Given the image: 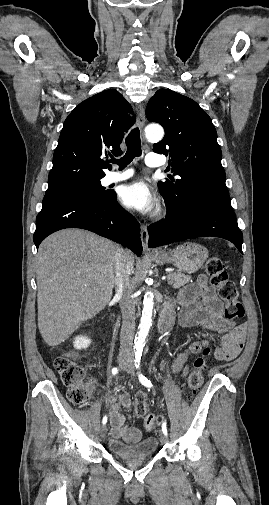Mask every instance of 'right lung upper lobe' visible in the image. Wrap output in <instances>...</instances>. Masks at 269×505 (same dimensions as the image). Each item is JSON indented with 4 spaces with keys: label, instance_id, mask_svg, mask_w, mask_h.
I'll list each match as a JSON object with an SVG mask.
<instances>
[{
    "label": "right lung upper lobe",
    "instance_id": "right-lung-upper-lobe-1",
    "mask_svg": "<svg viewBox=\"0 0 269 505\" xmlns=\"http://www.w3.org/2000/svg\"><path fill=\"white\" fill-rule=\"evenodd\" d=\"M132 108L116 90L102 91L81 102L66 118L58 146L48 189L101 179L110 166L103 160L122 153L120 144L134 123Z\"/></svg>",
    "mask_w": 269,
    "mask_h": 505
}]
</instances>
